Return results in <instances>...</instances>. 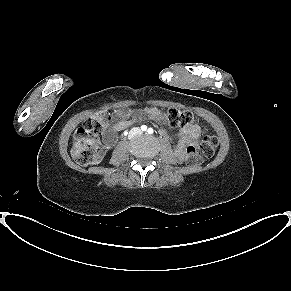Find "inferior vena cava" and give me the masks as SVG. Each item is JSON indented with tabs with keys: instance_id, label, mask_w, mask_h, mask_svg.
Instances as JSON below:
<instances>
[{
	"instance_id": "inferior-vena-cava-1",
	"label": "inferior vena cava",
	"mask_w": 291,
	"mask_h": 291,
	"mask_svg": "<svg viewBox=\"0 0 291 291\" xmlns=\"http://www.w3.org/2000/svg\"><path fill=\"white\" fill-rule=\"evenodd\" d=\"M139 134H141V129L138 127H134L130 130L128 137L130 139V138H133L134 136H137Z\"/></svg>"
}]
</instances>
